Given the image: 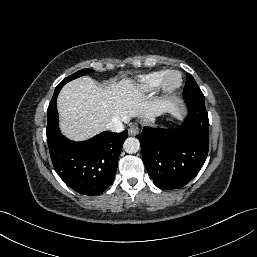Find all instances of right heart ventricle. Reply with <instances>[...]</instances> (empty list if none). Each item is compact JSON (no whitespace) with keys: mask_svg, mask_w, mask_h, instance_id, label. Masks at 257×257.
<instances>
[{"mask_svg":"<svg viewBox=\"0 0 257 257\" xmlns=\"http://www.w3.org/2000/svg\"><path fill=\"white\" fill-rule=\"evenodd\" d=\"M167 70H159L138 78L136 88L142 93H148L160 87L163 78L167 74Z\"/></svg>","mask_w":257,"mask_h":257,"instance_id":"right-heart-ventricle-1","label":"right heart ventricle"}]
</instances>
